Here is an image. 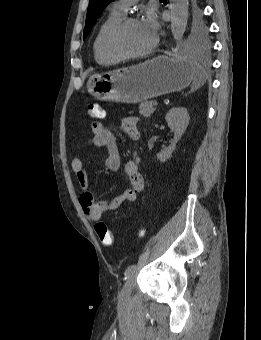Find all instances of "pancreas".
<instances>
[{
	"mask_svg": "<svg viewBox=\"0 0 261 340\" xmlns=\"http://www.w3.org/2000/svg\"><path fill=\"white\" fill-rule=\"evenodd\" d=\"M154 102L155 101H149V102H143V103H140L139 105V113L145 117V118H148L150 117L154 111H155V108H154Z\"/></svg>",
	"mask_w": 261,
	"mask_h": 340,
	"instance_id": "obj_1",
	"label": "pancreas"
}]
</instances>
